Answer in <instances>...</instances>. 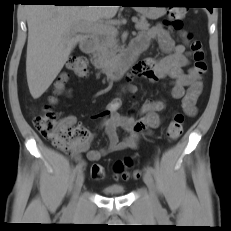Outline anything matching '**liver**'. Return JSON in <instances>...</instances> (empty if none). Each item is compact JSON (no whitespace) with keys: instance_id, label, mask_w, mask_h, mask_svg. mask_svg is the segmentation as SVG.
<instances>
[{"instance_id":"1","label":"liver","mask_w":231,"mask_h":231,"mask_svg":"<svg viewBox=\"0 0 231 231\" xmlns=\"http://www.w3.org/2000/svg\"><path fill=\"white\" fill-rule=\"evenodd\" d=\"M118 6L30 5L25 8L28 25L27 83L38 99L50 87L81 40L103 19L113 18Z\"/></svg>"}]
</instances>
